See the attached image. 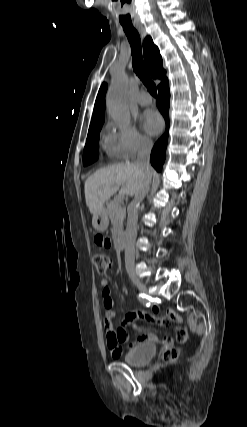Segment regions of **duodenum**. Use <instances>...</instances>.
Returning a JSON list of instances; mask_svg holds the SVG:
<instances>
[{
    "label": "duodenum",
    "instance_id": "410a0bca",
    "mask_svg": "<svg viewBox=\"0 0 247 427\" xmlns=\"http://www.w3.org/2000/svg\"><path fill=\"white\" fill-rule=\"evenodd\" d=\"M117 245L120 249H124L126 247V239L124 233H119L117 236Z\"/></svg>",
    "mask_w": 247,
    "mask_h": 427
}]
</instances>
